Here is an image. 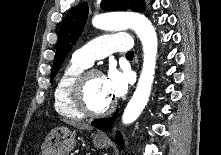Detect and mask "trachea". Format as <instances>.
Masks as SVG:
<instances>
[{"label": "trachea", "instance_id": "trachea-1", "mask_svg": "<svg viewBox=\"0 0 221 155\" xmlns=\"http://www.w3.org/2000/svg\"><path fill=\"white\" fill-rule=\"evenodd\" d=\"M133 55H134L133 51H129V52L126 54V57L132 58Z\"/></svg>", "mask_w": 221, "mask_h": 155}]
</instances>
